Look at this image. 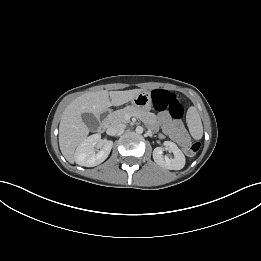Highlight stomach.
Listing matches in <instances>:
<instances>
[{
    "label": "stomach",
    "mask_w": 261,
    "mask_h": 261,
    "mask_svg": "<svg viewBox=\"0 0 261 261\" xmlns=\"http://www.w3.org/2000/svg\"><path fill=\"white\" fill-rule=\"evenodd\" d=\"M133 106L148 111L152 106V98L149 91H143L131 100Z\"/></svg>",
    "instance_id": "obj_1"
}]
</instances>
